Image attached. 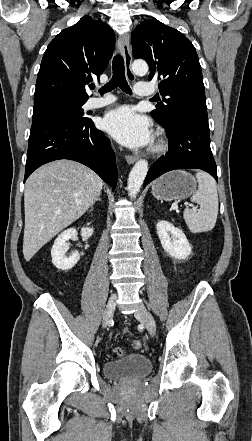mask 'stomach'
I'll use <instances>...</instances> for the list:
<instances>
[{
    "mask_svg": "<svg viewBox=\"0 0 252 441\" xmlns=\"http://www.w3.org/2000/svg\"><path fill=\"white\" fill-rule=\"evenodd\" d=\"M196 186V180L192 175L177 170L169 172L154 181L152 194L160 200H180L193 194Z\"/></svg>",
    "mask_w": 252,
    "mask_h": 441,
    "instance_id": "stomach-1",
    "label": "stomach"
}]
</instances>
